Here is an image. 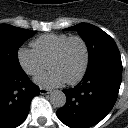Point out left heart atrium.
Instances as JSON below:
<instances>
[{
	"instance_id": "1",
	"label": "left heart atrium",
	"mask_w": 128,
	"mask_h": 128,
	"mask_svg": "<svg viewBox=\"0 0 128 128\" xmlns=\"http://www.w3.org/2000/svg\"><path fill=\"white\" fill-rule=\"evenodd\" d=\"M35 82L44 88H55L63 85L65 80L57 71L50 70L37 76Z\"/></svg>"
}]
</instances>
